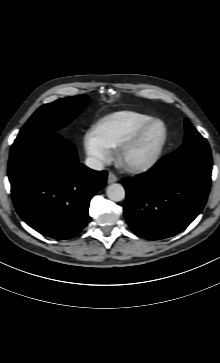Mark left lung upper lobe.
<instances>
[{
	"instance_id": "left-lung-upper-lobe-1",
	"label": "left lung upper lobe",
	"mask_w": 220,
	"mask_h": 363,
	"mask_svg": "<svg viewBox=\"0 0 220 363\" xmlns=\"http://www.w3.org/2000/svg\"><path fill=\"white\" fill-rule=\"evenodd\" d=\"M185 137L184 143L180 148L188 146H200L208 148L209 144L204 137L190 124L188 119H185Z\"/></svg>"
}]
</instances>
